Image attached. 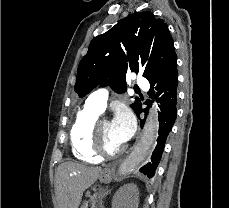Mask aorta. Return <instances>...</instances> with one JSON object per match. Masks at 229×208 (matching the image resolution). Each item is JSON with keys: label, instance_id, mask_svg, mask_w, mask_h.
Here are the masks:
<instances>
[{"label": "aorta", "instance_id": "obj_1", "mask_svg": "<svg viewBox=\"0 0 229 208\" xmlns=\"http://www.w3.org/2000/svg\"><path fill=\"white\" fill-rule=\"evenodd\" d=\"M158 133V114L156 106H153L148 114L140 141L121 164L120 175H127L137 169L150 153Z\"/></svg>", "mask_w": 229, "mask_h": 208}]
</instances>
